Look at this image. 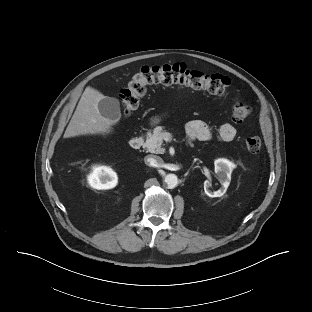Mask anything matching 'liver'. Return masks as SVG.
Instances as JSON below:
<instances>
[{
	"label": "liver",
	"instance_id": "1",
	"mask_svg": "<svg viewBox=\"0 0 312 312\" xmlns=\"http://www.w3.org/2000/svg\"><path fill=\"white\" fill-rule=\"evenodd\" d=\"M105 96L98 90L87 87L66 128L64 138L80 135L108 134L112 131L113 121L102 116L98 103Z\"/></svg>",
	"mask_w": 312,
	"mask_h": 312
}]
</instances>
